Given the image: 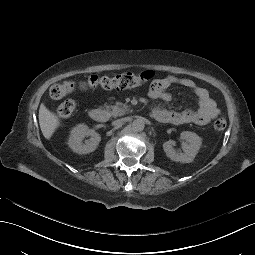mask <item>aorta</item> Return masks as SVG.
Wrapping results in <instances>:
<instances>
[{
	"label": "aorta",
	"mask_w": 255,
	"mask_h": 255,
	"mask_svg": "<svg viewBox=\"0 0 255 255\" xmlns=\"http://www.w3.org/2000/svg\"><path fill=\"white\" fill-rule=\"evenodd\" d=\"M145 127V123L142 119H135L132 122V129L135 131H143Z\"/></svg>",
	"instance_id": "1"
}]
</instances>
